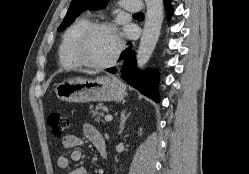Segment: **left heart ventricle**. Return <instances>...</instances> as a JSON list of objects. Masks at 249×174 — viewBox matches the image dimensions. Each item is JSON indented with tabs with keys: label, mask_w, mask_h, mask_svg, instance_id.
I'll return each mask as SVG.
<instances>
[{
	"label": "left heart ventricle",
	"mask_w": 249,
	"mask_h": 174,
	"mask_svg": "<svg viewBox=\"0 0 249 174\" xmlns=\"http://www.w3.org/2000/svg\"><path fill=\"white\" fill-rule=\"evenodd\" d=\"M117 48L116 35L108 30H97L87 39L84 56L92 63H104L111 59Z\"/></svg>",
	"instance_id": "left-heart-ventricle-1"
}]
</instances>
